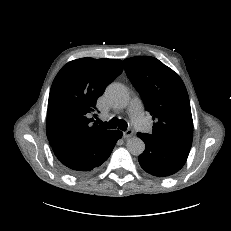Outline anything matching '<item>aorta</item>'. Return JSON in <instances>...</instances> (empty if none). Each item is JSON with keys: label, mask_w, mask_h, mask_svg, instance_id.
<instances>
[{"label": "aorta", "mask_w": 231, "mask_h": 231, "mask_svg": "<svg viewBox=\"0 0 231 231\" xmlns=\"http://www.w3.org/2000/svg\"><path fill=\"white\" fill-rule=\"evenodd\" d=\"M106 98L108 102L116 108H124L128 105L129 94L125 86L114 83L106 89ZM127 150L135 156L141 155L145 150V143L139 137H132L127 141Z\"/></svg>", "instance_id": "obj_1"}]
</instances>
